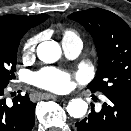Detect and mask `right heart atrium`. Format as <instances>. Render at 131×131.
I'll list each match as a JSON object with an SVG mask.
<instances>
[{"instance_id": "right-heart-atrium-1", "label": "right heart atrium", "mask_w": 131, "mask_h": 131, "mask_svg": "<svg viewBox=\"0 0 131 131\" xmlns=\"http://www.w3.org/2000/svg\"><path fill=\"white\" fill-rule=\"evenodd\" d=\"M38 40H39V36L37 35L26 39V41L23 43L22 46V54L24 57H28L34 53Z\"/></svg>"}]
</instances>
